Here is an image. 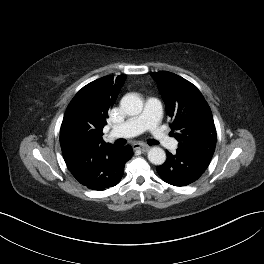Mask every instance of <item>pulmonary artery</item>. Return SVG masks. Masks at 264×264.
Returning <instances> with one entry per match:
<instances>
[{
	"label": "pulmonary artery",
	"mask_w": 264,
	"mask_h": 264,
	"mask_svg": "<svg viewBox=\"0 0 264 264\" xmlns=\"http://www.w3.org/2000/svg\"><path fill=\"white\" fill-rule=\"evenodd\" d=\"M162 104L158 98L150 97L145 102L144 111L124 123L116 126L111 135L128 138L149 130L154 140L164 147H171L175 141L169 137L160 126Z\"/></svg>",
	"instance_id": "e3ab8cb5"
}]
</instances>
